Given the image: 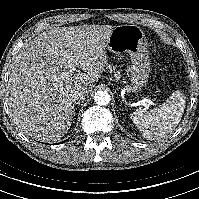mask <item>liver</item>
I'll return each instance as SVG.
<instances>
[{"mask_svg": "<svg viewBox=\"0 0 199 199\" xmlns=\"http://www.w3.org/2000/svg\"><path fill=\"white\" fill-rule=\"evenodd\" d=\"M116 26L83 25L53 28L25 44L11 64L8 105L18 128L49 142L69 130L75 105L73 88L89 96L108 67L106 41ZM84 71L69 73L68 59Z\"/></svg>", "mask_w": 199, "mask_h": 199, "instance_id": "obj_1", "label": "liver"}]
</instances>
